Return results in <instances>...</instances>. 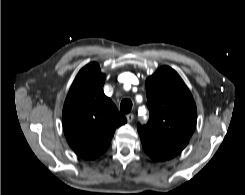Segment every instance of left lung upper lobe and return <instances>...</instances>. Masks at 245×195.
<instances>
[{"label":"left lung upper lobe","mask_w":245,"mask_h":195,"mask_svg":"<svg viewBox=\"0 0 245 195\" xmlns=\"http://www.w3.org/2000/svg\"><path fill=\"white\" fill-rule=\"evenodd\" d=\"M150 119L138 124L141 141L159 150L179 154L188 144L197 122L194 99L177 72L168 66L146 80Z\"/></svg>","instance_id":"left-lung-upper-lobe-1"}]
</instances>
